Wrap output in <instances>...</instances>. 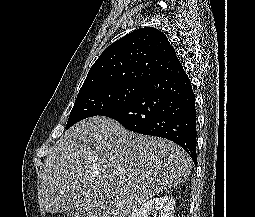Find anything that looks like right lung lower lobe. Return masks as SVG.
<instances>
[{
  "label": "right lung lower lobe",
  "mask_w": 255,
  "mask_h": 217,
  "mask_svg": "<svg viewBox=\"0 0 255 217\" xmlns=\"http://www.w3.org/2000/svg\"><path fill=\"white\" fill-rule=\"evenodd\" d=\"M101 115L128 130L179 144L196 165L195 96L183 67L149 83L131 102Z\"/></svg>",
  "instance_id": "right-lung-lower-lobe-1"
}]
</instances>
